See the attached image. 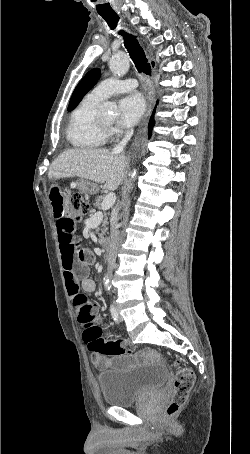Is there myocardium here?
Returning <instances> with one entry per match:
<instances>
[{
  "label": "myocardium",
  "mask_w": 250,
  "mask_h": 454,
  "mask_svg": "<svg viewBox=\"0 0 250 454\" xmlns=\"http://www.w3.org/2000/svg\"><path fill=\"white\" fill-rule=\"evenodd\" d=\"M99 128L108 136L111 132V125L103 122L99 117L97 118Z\"/></svg>",
  "instance_id": "f54148a6"
}]
</instances>
